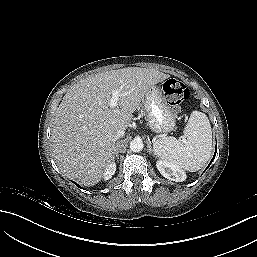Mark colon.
I'll return each mask as SVG.
<instances>
[{
  "mask_svg": "<svg viewBox=\"0 0 257 257\" xmlns=\"http://www.w3.org/2000/svg\"><path fill=\"white\" fill-rule=\"evenodd\" d=\"M163 92L175 114L180 115L182 113V103L190 97L189 89L183 83L169 79L163 84Z\"/></svg>",
  "mask_w": 257,
  "mask_h": 257,
  "instance_id": "5ec220e1",
  "label": "colon"
}]
</instances>
